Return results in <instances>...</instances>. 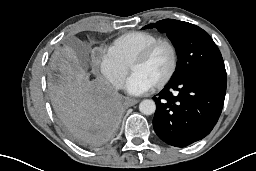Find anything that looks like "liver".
Instances as JSON below:
<instances>
[{
	"label": "liver",
	"mask_w": 256,
	"mask_h": 171,
	"mask_svg": "<svg viewBox=\"0 0 256 171\" xmlns=\"http://www.w3.org/2000/svg\"><path fill=\"white\" fill-rule=\"evenodd\" d=\"M59 70L62 73H72L74 68H73L72 63H70L68 60H64L63 62H61L59 64Z\"/></svg>",
	"instance_id": "6515ba94"
}]
</instances>
